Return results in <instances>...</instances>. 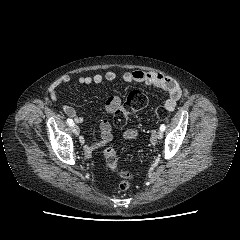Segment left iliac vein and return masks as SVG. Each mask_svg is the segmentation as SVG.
<instances>
[{
	"instance_id": "left-iliac-vein-1",
	"label": "left iliac vein",
	"mask_w": 240,
	"mask_h": 240,
	"mask_svg": "<svg viewBox=\"0 0 240 240\" xmlns=\"http://www.w3.org/2000/svg\"><path fill=\"white\" fill-rule=\"evenodd\" d=\"M156 137L158 139H162L163 138V132L161 130H159L157 133H156Z\"/></svg>"
}]
</instances>
